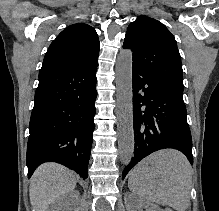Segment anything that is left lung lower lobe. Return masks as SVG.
I'll use <instances>...</instances> for the list:
<instances>
[{
	"label": "left lung lower lobe",
	"instance_id": "left-lung-lower-lobe-1",
	"mask_svg": "<svg viewBox=\"0 0 219 211\" xmlns=\"http://www.w3.org/2000/svg\"><path fill=\"white\" fill-rule=\"evenodd\" d=\"M132 78L135 150L122 178L144 157L166 148L181 151L193 164L183 93L134 66Z\"/></svg>",
	"mask_w": 219,
	"mask_h": 211
}]
</instances>
